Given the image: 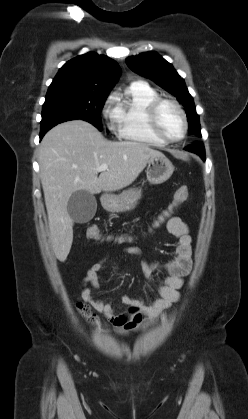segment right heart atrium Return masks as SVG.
Returning a JSON list of instances; mask_svg holds the SVG:
<instances>
[{
	"mask_svg": "<svg viewBox=\"0 0 248 419\" xmlns=\"http://www.w3.org/2000/svg\"><path fill=\"white\" fill-rule=\"evenodd\" d=\"M115 96L110 95L102 108V115L105 119L109 120L111 123L115 122L116 119V106H114Z\"/></svg>",
	"mask_w": 248,
	"mask_h": 419,
	"instance_id": "1",
	"label": "right heart atrium"
}]
</instances>
